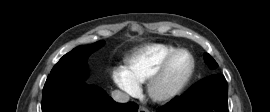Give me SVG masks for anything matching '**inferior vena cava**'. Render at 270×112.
Segmentation results:
<instances>
[{
	"label": "inferior vena cava",
	"instance_id": "inferior-vena-cava-1",
	"mask_svg": "<svg viewBox=\"0 0 270 112\" xmlns=\"http://www.w3.org/2000/svg\"><path fill=\"white\" fill-rule=\"evenodd\" d=\"M111 95H112L113 100L118 102V103H126L130 99L128 94H126L120 90L112 91Z\"/></svg>",
	"mask_w": 270,
	"mask_h": 112
}]
</instances>
